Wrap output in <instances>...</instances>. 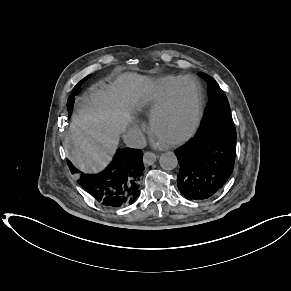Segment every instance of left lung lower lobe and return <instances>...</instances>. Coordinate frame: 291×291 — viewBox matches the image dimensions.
<instances>
[{"instance_id": "0a47b994", "label": "left lung lower lobe", "mask_w": 291, "mask_h": 291, "mask_svg": "<svg viewBox=\"0 0 291 291\" xmlns=\"http://www.w3.org/2000/svg\"><path fill=\"white\" fill-rule=\"evenodd\" d=\"M180 166L177 186L188 200H205L226 184L234 168L236 138L197 132L175 151Z\"/></svg>"}]
</instances>
